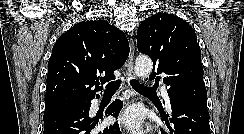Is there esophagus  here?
Masks as SVG:
<instances>
[{
  "mask_svg": "<svg viewBox=\"0 0 244 134\" xmlns=\"http://www.w3.org/2000/svg\"><path fill=\"white\" fill-rule=\"evenodd\" d=\"M129 46H130V52H129V56H128L127 64H126V81H127V88H128L129 95L131 97H133L135 95V92L131 88L130 80L135 78V75H134L135 46H134V42L132 39H130V41H129Z\"/></svg>",
  "mask_w": 244,
  "mask_h": 134,
  "instance_id": "1",
  "label": "esophagus"
}]
</instances>
